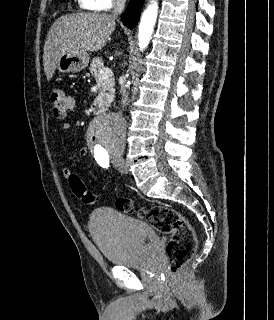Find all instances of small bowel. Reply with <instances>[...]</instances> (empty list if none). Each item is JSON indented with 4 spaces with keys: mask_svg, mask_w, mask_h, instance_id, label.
<instances>
[{
    "mask_svg": "<svg viewBox=\"0 0 274 320\" xmlns=\"http://www.w3.org/2000/svg\"><path fill=\"white\" fill-rule=\"evenodd\" d=\"M70 129H71V124L70 123L65 122V123L62 124V130L63 131H69ZM88 153H89V150L87 148H82L79 151V156L80 157H85V156H87ZM60 163H61V170H62L63 174L66 177H69L70 174H71V169H70L69 165L63 160H61Z\"/></svg>",
    "mask_w": 274,
    "mask_h": 320,
    "instance_id": "c3829d8e",
    "label": "small bowel"
}]
</instances>
